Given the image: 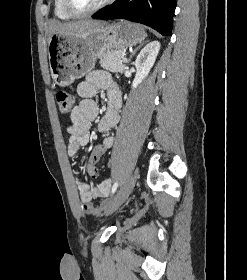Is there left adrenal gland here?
<instances>
[{
    "label": "left adrenal gland",
    "instance_id": "left-adrenal-gland-1",
    "mask_svg": "<svg viewBox=\"0 0 247 280\" xmlns=\"http://www.w3.org/2000/svg\"><path fill=\"white\" fill-rule=\"evenodd\" d=\"M138 48L139 47H137L135 50H134V52H133V54L138 50ZM132 56V55H131ZM131 56H130V58H131ZM130 61V59L128 60V62Z\"/></svg>",
    "mask_w": 247,
    "mask_h": 280
}]
</instances>
